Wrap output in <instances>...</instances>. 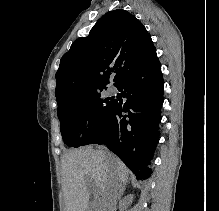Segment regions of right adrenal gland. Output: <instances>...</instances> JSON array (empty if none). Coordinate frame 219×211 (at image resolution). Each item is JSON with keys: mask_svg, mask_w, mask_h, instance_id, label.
Segmentation results:
<instances>
[{"mask_svg": "<svg viewBox=\"0 0 219 211\" xmlns=\"http://www.w3.org/2000/svg\"><path fill=\"white\" fill-rule=\"evenodd\" d=\"M123 191H125V187H123Z\"/></svg>", "mask_w": 219, "mask_h": 211, "instance_id": "2a0ac1e0", "label": "right adrenal gland"}]
</instances>
